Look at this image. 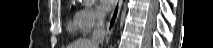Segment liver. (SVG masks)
Instances as JSON below:
<instances>
[{"label": "liver", "instance_id": "liver-1", "mask_svg": "<svg viewBox=\"0 0 213 48\" xmlns=\"http://www.w3.org/2000/svg\"><path fill=\"white\" fill-rule=\"evenodd\" d=\"M68 48H96L89 39H80L70 45Z\"/></svg>", "mask_w": 213, "mask_h": 48}]
</instances>
